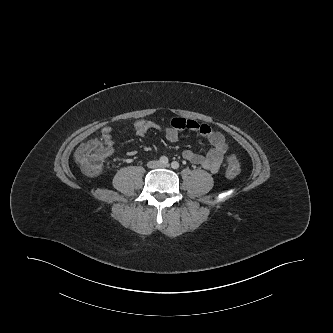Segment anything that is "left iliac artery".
I'll list each match as a JSON object with an SVG mask.
<instances>
[{"label":"left iliac artery","mask_w":333,"mask_h":333,"mask_svg":"<svg viewBox=\"0 0 333 333\" xmlns=\"http://www.w3.org/2000/svg\"><path fill=\"white\" fill-rule=\"evenodd\" d=\"M171 167H172L173 169H178V168H179V163H178L177 161H173V162L171 163Z\"/></svg>","instance_id":"44dca946"}]
</instances>
